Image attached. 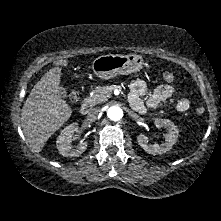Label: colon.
Listing matches in <instances>:
<instances>
[{
  "instance_id": "obj_1",
  "label": "colon",
  "mask_w": 221,
  "mask_h": 221,
  "mask_svg": "<svg viewBox=\"0 0 221 221\" xmlns=\"http://www.w3.org/2000/svg\"><path fill=\"white\" fill-rule=\"evenodd\" d=\"M163 80L166 82H173L174 81V75L170 72H164L163 73ZM70 99L72 101H77L79 99V93L77 91H72L70 94ZM195 112L198 115H202L204 113V108L202 106H197L195 108Z\"/></svg>"
}]
</instances>
